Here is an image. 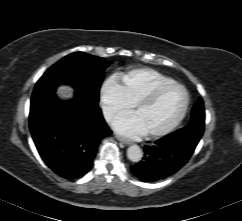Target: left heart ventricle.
<instances>
[{"mask_svg": "<svg viewBox=\"0 0 242 221\" xmlns=\"http://www.w3.org/2000/svg\"><path fill=\"white\" fill-rule=\"evenodd\" d=\"M183 103V91L170 86L162 90L150 104L134 113L142 122L146 133L155 132L166 128L177 118Z\"/></svg>", "mask_w": 242, "mask_h": 221, "instance_id": "1", "label": "left heart ventricle"}]
</instances>
